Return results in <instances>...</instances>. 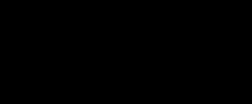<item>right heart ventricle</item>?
Wrapping results in <instances>:
<instances>
[{
    "label": "right heart ventricle",
    "mask_w": 252,
    "mask_h": 104,
    "mask_svg": "<svg viewBox=\"0 0 252 104\" xmlns=\"http://www.w3.org/2000/svg\"><path fill=\"white\" fill-rule=\"evenodd\" d=\"M118 42H119L120 49L123 53H125L128 56L133 55V44L129 37L122 36L120 37Z\"/></svg>",
    "instance_id": "right-heart-ventricle-1"
}]
</instances>
